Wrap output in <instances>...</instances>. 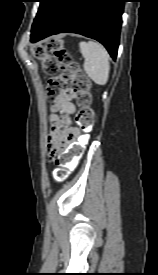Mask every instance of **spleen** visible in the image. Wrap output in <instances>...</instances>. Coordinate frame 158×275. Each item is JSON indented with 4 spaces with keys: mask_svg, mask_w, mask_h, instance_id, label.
<instances>
[{
    "mask_svg": "<svg viewBox=\"0 0 158 275\" xmlns=\"http://www.w3.org/2000/svg\"><path fill=\"white\" fill-rule=\"evenodd\" d=\"M79 48L85 59L84 70L88 77L98 85H105L109 78V54L97 42H80Z\"/></svg>",
    "mask_w": 158,
    "mask_h": 275,
    "instance_id": "1",
    "label": "spleen"
}]
</instances>
